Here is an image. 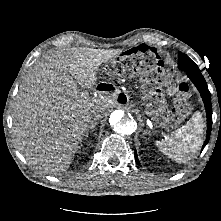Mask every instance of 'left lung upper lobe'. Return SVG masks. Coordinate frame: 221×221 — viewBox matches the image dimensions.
Here are the masks:
<instances>
[{
    "mask_svg": "<svg viewBox=\"0 0 221 221\" xmlns=\"http://www.w3.org/2000/svg\"><path fill=\"white\" fill-rule=\"evenodd\" d=\"M179 69L183 71H200L198 66L185 54H179V61H178Z\"/></svg>",
    "mask_w": 221,
    "mask_h": 221,
    "instance_id": "5c2ea615",
    "label": "left lung upper lobe"
}]
</instances>
